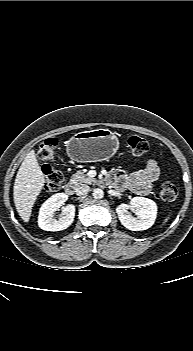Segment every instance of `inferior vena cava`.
<instances>
[{"label":"inferior vena cava","mask_w":193,"mask_h":351,"mask_svg":"<svg viewBox=\"0 0 193 351\" xmlns=\"http://www.w3.org/2000/svg\"><path fill=\"white\" fill-rule=\"evenodd\" d=\"M90 191V187L86 184H80L75 188L76 195L84 196Z\"/></svg>","instance_id":"602c4592"}]
</instances>
